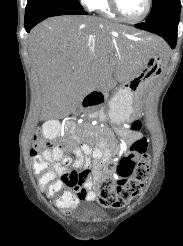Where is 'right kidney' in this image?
Wrapping results in <instances>:
<instances>
[{
  "label": "right kidney",
  "mask_w": 183,
  "mask_h": 246,
  "mask_svg": "<svg viewBox=\"0 0 183 246\" xmlns=\"http://www.w3.org/2000/svg\"><path fill=\"white\" fill-rule=\"evenodd\" d=\"M61 125L57 120H49L43 124L42 133L47 139H54L59 134Z\"/></svg>",
  "instance_id": "ca27d5eb"
}]
</instances>
